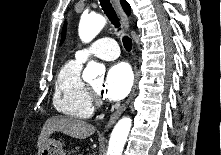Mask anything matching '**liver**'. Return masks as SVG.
Returning <instances> with one entry per match:
<instances>
[{"label":"liver","instance_id":"6515ba94","mask_svg":"<svg viewBox=\"0 0 221 155\" xmlns=\"http://www.w3.org/2000/svg\"><path fill=\"white\" fill-rule=\"evenodd\" d=\"M95 131L96 128L93 125L83 120L68 116H52L46 120L38 137L37 146L40 151L45 141L54 132H62L73 138L86 139Z\"/></svg>","mask_w":221,"mask_h":155}]
</instances>
